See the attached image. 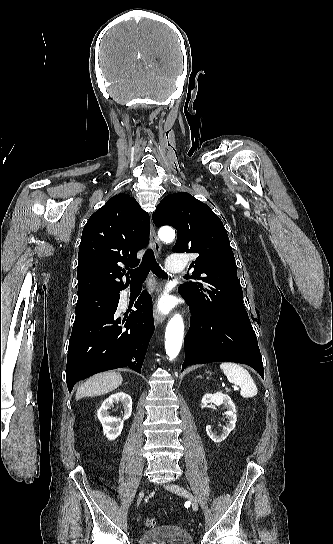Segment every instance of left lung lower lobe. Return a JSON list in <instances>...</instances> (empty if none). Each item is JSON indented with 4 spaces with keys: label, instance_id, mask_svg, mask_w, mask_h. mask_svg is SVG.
Returning <instances> with one entry per match:
<instances>
[{
    "label": "left lung lower lobe",
    "instance_id": "obj_1",
    "mask_svg": "<svg viewBox=\"0 0 333 544\" xmlns=\"http://www.w3.org/2000/svg\"><path fill=\"white\" fill-rule=\"evenodd\" d=\"M179 293L193 315V322L184 341L185 361L182 370L192 364L231 361L251 366L264 378L255 332L242 323L215 315Z\"/></svg>",
    "mask_w": 333,
    "mask_h": 544
}]
</instances>
